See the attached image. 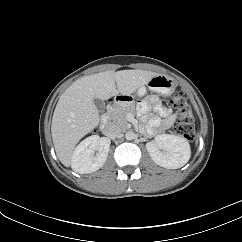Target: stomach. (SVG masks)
<instances>
[{
	"mask_svg": "<svg viewBox=\"0 0 242 242\" xmlns=\"http://www.w3.org/2000/svg\"><path fill=\"white\" fill-rule=\"evenodd\" d=\"M146 85H147V88L152 92L158 93L166 97L172 95L177 86L173 78L167 75H161V74L150 79ZM145 94H146V87L144 86L139 87L137 91V95L143 96ZM118 104L125 105L126 102L122 100V101H118Z\"/></svg>",
	"mask_w": 242,
	"mask_h": 242,
	"instance_id": "stomach-1",
	"label": "stomach"
}]
</instances>
